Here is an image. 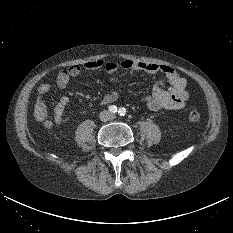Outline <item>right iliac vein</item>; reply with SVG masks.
I'll use <instances>...</instances> for the list:
<instances>
[{"instance_id":"63e3f726","label":"right iliac vein","mask_w":233,"mask_h":233,"mask_svg":"<svg viewBox=\"0 0 233 233\" xmlns=\"http://www.w3.org/2000/svg\"><path fill=\"white\" fill-rule=\"evenodd\" d=\"M107 117H108L107 112H103V113L100 115V118H101L102 120L107 119Z\"/></svg>"}]
</instances>
